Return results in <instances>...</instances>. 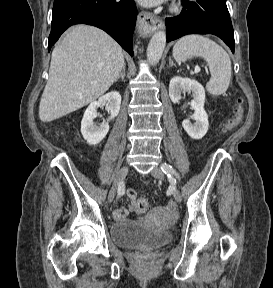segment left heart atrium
<instances>
[{
  "mask_svg": "<svg viewBox=\"0 0 273 288\" xmlns=\"http://www.w3.org/2000/svg\"><path fill=\"white\" fill-rule=\"evenodd\" d=\"M144 6H152L159 3L161 0H138Z\"/></svg>",
  "mask_w": 273,
  "mask_h": 288,
  "instance_id": "left-heart-atrium-1",
  "label": "left heart atrium"
}]
</instances>
